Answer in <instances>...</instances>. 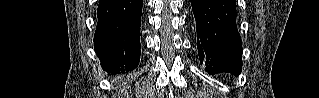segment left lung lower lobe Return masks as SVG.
Listing matches in <instances>:
<instances>
[{"label":"left lung lower lobe","mask_w":319,"mask_h":98,"mask_svg":"<svg viewBox=\"0 0 319 98\" xmlns=\"http://www.w3.org/2000/svg\"><path fill=\"white\" fill-rule=\"evenodd\" d=\"M200 63L210 74L239 75L242 44L236 25L235 0H191Z\"/></svg>","instance_id":"obj_1"}]
</instances>
